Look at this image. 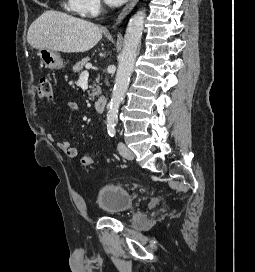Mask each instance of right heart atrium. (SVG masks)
<instances>
[{"instance_id": "obj_1", "label": "right heart atrium", "mask_w": 255, "mask_h": 272, "mask_svg": "<svg viewBox=\"0 0 255 272\" xmlns=\"http://www.w3.org/2000/svg\"><path fill=\"white\" fill-rule=\"evenodd\" d=\"M101 9L100 0H75V10L84 16H93Z\"/></svg>"}]
</instances>
